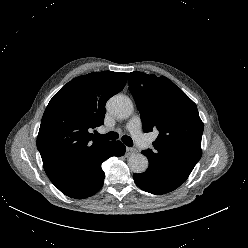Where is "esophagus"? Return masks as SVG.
<instances>
[{
  "instance_id": "34e87169",
  "label": "esophagus",
  "mask_w": 248,
  "mask_h": 248,
  "mask_svg": "<svg viewBox=\"0 0 248 248\" xmlns=\"http://www.w3.org/2000/svg\"><path fill=\"white\" fill-rule=\"evenodd\" d=\"M137 152V150L135 148H132V147H127L126 148V154L127 156H130L132 154H135Z\"/></svg>"
}]
</instances>
